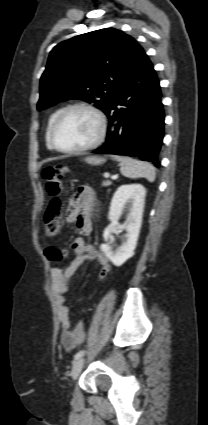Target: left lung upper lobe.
Segmentation results:
<instances>
[{
    "label": "left lung upper lobe",
    "instance_id": "left-lung-upper-lobe-1",
    "mask_svg": "<svg viewBox=\"0 0 208 425\" xmlns=\"http://www.w3.org/2000/svg\"><path fill=\"white\" fill-rule=\"evenodd\" d=\"M146 57L133 37L114 28L63 41L50 52L40 80L37 109L81 99L105 111Z\"/></svg>",
    "mask_w": 208,
    "mask_h": 425
}]
</instances>
